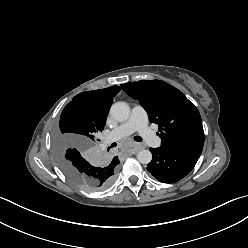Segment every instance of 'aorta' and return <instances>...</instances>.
I'll list each match as a JSON object with an SVG mask.
<instances>
[{"instance_id": "obj_1", "label": "aorta", "mask_w": 248, "mask_h": 248, "mask_svg": "<svg viewBox=\"0 0 248 248\" xmlns=\"http://www.w3.org/2000/svg\"><path fill=\"white\" fill-rule=\"evenodd\" d=\"M110 115L117 121H126L130 116V107L125 102H116L111 106ZM137 160L141 164H148L152 160V154L149 150H141L137 153Z\"/></svg>"}]
</instances>
